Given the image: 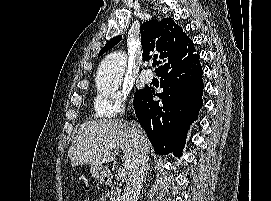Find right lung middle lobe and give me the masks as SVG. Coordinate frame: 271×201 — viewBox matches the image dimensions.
<instances>
[{
  "instance_id": "dd1d6c3e",
  "label": "right lung middle lobe",
  "mask_w": 271,
  "mask_h": 201,
  "mask_svg": "<svg viewBox=\"0 0 271 201\" xmlns=\"http://www.w3.org/2000/svg\"><path fill=\"white\" fill-rule=\"evenodd\" d=\"M139 92H141V90H139L137 93H139ZM137 93H136V94H137Z\"/></svg>"
}]
</instances>
